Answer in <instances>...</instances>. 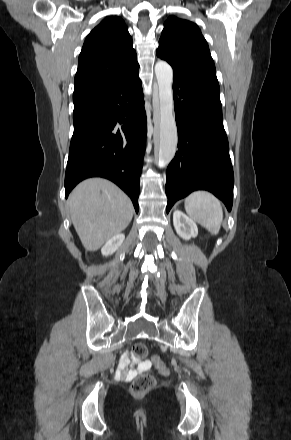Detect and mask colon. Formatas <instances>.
Masks as SVG:
<instances>
[{"label": "colon", "instance_id": "1", "mask_svg": "<svg viewBox=\"0 0 291 440\" xmlns=\"http://www.w3.org/2000/svg\"><path fill=\"white\" fill-rule=\"evenodd\" d=\"M133 354L136 359H145L148 357V349L145 344L137 342L133 346ZM153 363L160 374L168 372V366L159 357H154ZM154 379L149 375L137 377L131 384L130 390L135 397L145 396L154 387Z\"/></svg>", "mask_w": 291, "mask_h": 440}]
</instances>
